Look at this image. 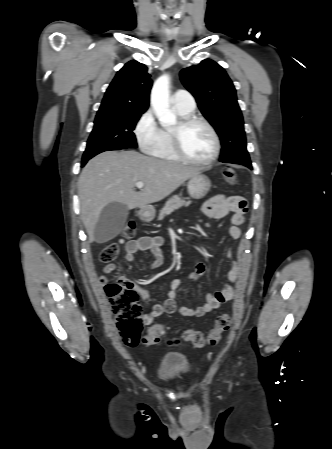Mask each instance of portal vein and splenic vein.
Listing matches in <instances>:
<instances>
[{
	"label": "portal vein and splenic vein",
	"instance_id": "1",
	"mask_svg": "<svg viewBox=\"0 0 332 449\" xmlns=\"http://www.w3.org/2000/svg\"><path fill=\"white\" fill-rule=\"evenodd\" d=\"M136 187H137L138 189H142V188L144 187V183H143V182H137V183H136Z\"/></svg>",
	"mask_w": 332,
	"mask_h": 449
}]
</instances>
